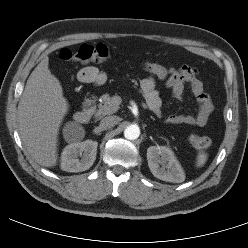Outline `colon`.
I'll return each instance as SVG.
<instances>
[{"instance_id":"obj_1","label":"colon","mask_w":248,"mask_h":248,"mask_svg":"<svg viewBox=\"0 0 248 248\" xmlns=\"http://www.w3.org/2000/svg\"><path fill=\"white\" fill-rule=\"evenodd\" d=\"M60 59L69 63H101L111 58L112 54L109 47L99 43L96 45H82L76 50L64 48L59 53ZM140 67L145 72L156 76L161 80H167L170 69L160 63L144 61ZM191 144L197 149H207L211 146V139L207 136L193 134L189 137Z\"/></svg>"}]
</instances>
